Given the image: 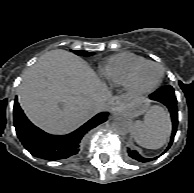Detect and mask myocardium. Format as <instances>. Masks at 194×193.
<instances>
[{
	"label": "myocardium",
	"mask_w": 194,
	"mask_h": 193,
	"mask_svg": "<svg viewBox=\"0 0 194 193\" xmlns=\"http://www.w3.org/2000/svg\"><path fill=\"white\" fill-rule=\"evenodd\" d=\"M147 65L156 66L160 70V77L158 81L150 87H144L139 82V74L141 70ZM163 77H164V67L157 62L146 60L140 63L139 65H137L136 68L134 69L131 76L130 83L128 84V88L132 93H135V94H150L154 92L161 85Z\"/></svg>",
	"instance_id": "obj_1"
}]
</instances>
